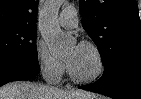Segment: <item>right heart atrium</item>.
Here are the masks:
<instances>
[{"label": "right heart atrium", "mask_w": 141, "mask_h": 99, "mask_svg": "<svg viewBox=\"0 0 141 99\" xmlns=\"http://www.w3.org/2000/svg\"><path fill=\"white\" fill-rule=\"evenodd\" d=\"M35 61L43 78L49 82L59 81L65 72V64L54 57L48 47L42 42L35 44Z\"/></svg>", "instance_id": "1"}]
</instances>
